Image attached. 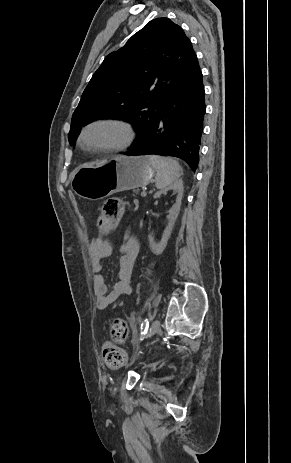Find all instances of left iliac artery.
Instances as JSON below:
<instances>
[{"label":"left iliac artery","mask_w":291,"mask_h":463,"mask_svg":"<svg viewBox=\"0 0 291 463\" xmlns=\"http://www.w3.org/2000/svg\"><path fill=\"white\" fill-rule=\"evenodd\" d=\"M148 328H149V321H148V319H145L141 324V337H140V340H143L144 335L148 331Z\"/></svg>","instance_id":"obj_1"}]
</instances>
